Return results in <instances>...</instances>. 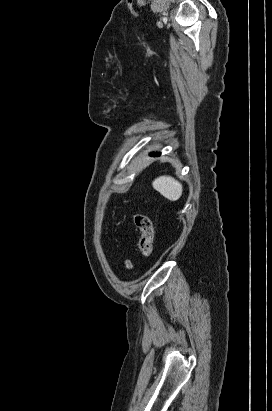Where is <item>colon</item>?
<instances>
[{"label":"colon","mask_w":272,"mask_h":411,"mask_svg":"<svg viewBox=\"0 0 272 411\" xmlns=\"http://www.w3.org/2000/svg\"><path fill=\"white\" fill-rule=\"evenodd\" d=\"M134 222L139 231V249L145 257H150L153 253L154 236L152 222L144 213H136L134 216Z\"/></svg>","instance_id":"1"}]
</instances>
